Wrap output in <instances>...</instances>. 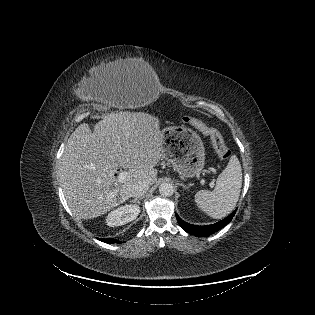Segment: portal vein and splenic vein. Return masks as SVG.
Listing matches in <instances>:
<instances>
[{
    "label": "portal vein and splenic vein",
    "instance_id": "portal-vein-and-splenic-vein-1",
    "mask_svg": "<svg viewBox=\"0 0 315 315\" xmlns=\"http://www.w3.org/2000/svg\"><path fill=\"white\" fill-rule=\"evenodd\" d=\"M128 172L127 171H121L118 175V181L123 182L127 178ZM111 195L116 194V191H113L110 193Z\"/></svg>",
    "mask_w": 315,
    "mask_h": 315
}]
</instances>
